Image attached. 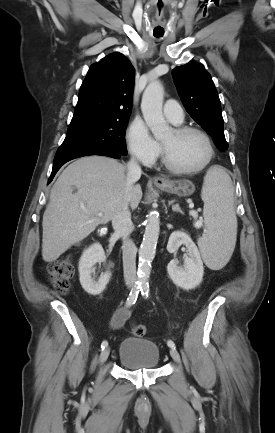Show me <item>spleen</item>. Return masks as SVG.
<instances>
[{"instance_id": "obj_1", "label": "spleen", "mask_w": 275, "mask_h": 433, "mask_svg": "<svg viewBox=\"0 0 275 433\" xmlns=\"http://www.w3.org/2000/svg\"><path fill=\"white\" fill-rule=\"evenodd\" d=\"M201 198L204 201L206 231L198 239V246L205 264L219 270L231 258L237 235L234 187L222 167L213 166L207 171Z\"/></svg>"}]
</instances>
